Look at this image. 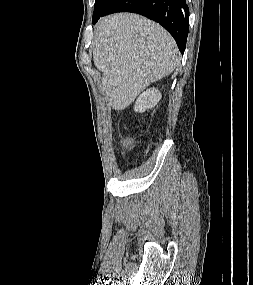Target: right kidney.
Returning <instances> with one entry per match:
<instances>
[{
    "label": "right kidney",
    "instance_id": "ca27d5eb",
    "mask_svg": "<svg viewBox=\"0 0 253 285\" xmlns=\"http://www.w3.org/2000/svg\"><path fill=\"white\" fill-rule=\"evenodd\" d=\"M162 95L156 88H150L143 92L135 102L134 111L135 112H145L157 105L160 101Z\"/></svg>",
    "mask_w": 253,
    "mask_h": 285
}]
</instances>
